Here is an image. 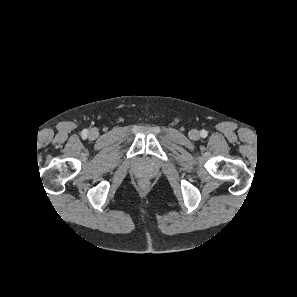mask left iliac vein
Segmentation results:
<instances>
[{"label":"left iliac vein","instance_id":"4c4485c4","mask_svg":"<svg viewBox=\"0 0 297 297\" xmlns=\"http://www.w3.org/2000/svg\"><path fill=\"white\" fill-rule=\"evenodd\" d=\"M189 138L192 140H198L200 137V134L197 130L192 129L191 131H189Z\"/></svg>","mask_w":297,"mask_h":297}]
</instances>
